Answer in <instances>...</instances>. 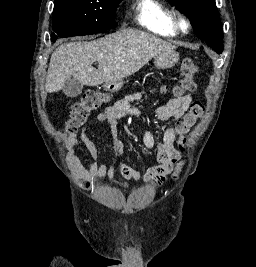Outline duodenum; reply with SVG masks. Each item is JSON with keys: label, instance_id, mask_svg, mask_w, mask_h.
<instances>
[{"label": "duodenum", "instance_id": "410a0bca", "mask_svg": "<svg viewBox=\"0 0 256 267\" xmlns=\"http://www.w3.org/2000/svg\"><path fill=\"white\" fill-rule=\"evenodd\" d=\"M121 80L119 78H107L102 85L105 88V94H112V90H118V88L125 86L126 82L123 81V78Z\"/></svg>", "mask_w": 256, "mask_h": 267}]
</instances>
